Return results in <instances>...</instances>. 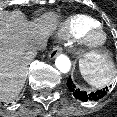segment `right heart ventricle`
<instances>
[{
	"label": "right heart ventricle",
	"instance_id": "1",
	"mask_svg": "<svg viewBox=\"0 0 117 117\" xmlns=\"http://www.w3.org/2000/svg\"><path fill=\"white\" fill-rule=\"evenodd\" d=\"M99 22L85 14H74L67 17L60 26V31L63 36L69 38H77L87 28L98 25Z\"/></svg>",
	"mask_w": 117,
	"mask_h": 117
}]
</instances>
